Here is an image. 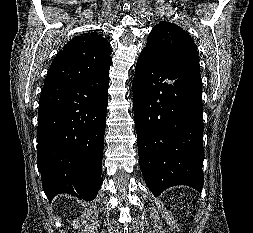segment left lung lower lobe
<instances>
[{
  "instance_id": "0a47b994",
  "label": "left lung lower lobe",
  "mask_w": 253,
  "mask_h": 233,
  "mask_svg": "<svg viewBox=\"0 0 253 233\" xmlns=\"http://www.w3.org/2000/svg\"><path fill=\"white\" fill-rule=\"evenodd\" d=\"M140 169L159 196L175 185L203 187V104L200 71H172L143 49L133 80Z\"/></svg>"
}]
</instances>
